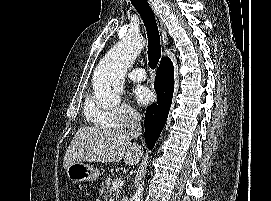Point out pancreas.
<instances>
[{
  "mask_svg": "<svg viewBox=\"0 0 271 201\" xmlns=\"http://www.w3.org/2000/svg\"><path fill=\"white\" fill-rule=\"evenodd\" d=\"M112 178H106L100 185L99 194L104 196L105 201H117L121 194V186L113 187Z\"/></svg>",
  "mask_w": 271,
  "mask_h": 201,
  "instance_id": "1",
  "label": "pancreas"
}]
</instances>
